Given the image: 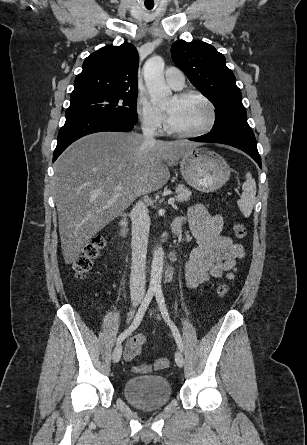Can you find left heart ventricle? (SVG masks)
<instances>
[{
  "label": "left heart ventricle",
  "mask_w": 307,
  "mask_h": 445,
  "mask_svg": "<svg viewBox=\"0 0 307 445\" xmlns=\"http://www.w3.org/2000/svg\"><path fill=\"white\" fill-rule=\"evenodd\" d=\"M163 106L171 125L180 131L200 130L210 119L208 107L196 98L180 99L173 95Z\"/></svg>",
  "instance_id": "left-heart-ventricle-1"
}]
</instances>
